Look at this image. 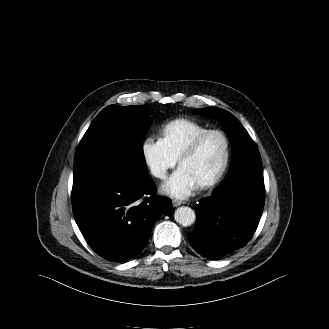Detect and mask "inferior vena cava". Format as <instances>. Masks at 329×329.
<instances>
[{"label": "inferior vena cava", "mask_w": 329, "mask_h": 329, "mask_svg": "<svg viewBox=\"0 0 329 329\" xmlns=\"http://www.w3.org/2000/svg\"><path fill=\"white\" fill-rule=\"evenodd\" d=\"M164 173H165V171H164L163 169H157V170L155 171V175L158 176V177L163 176Z\"/></svg>", "instance_id": "obj_1"}]
</instances>
